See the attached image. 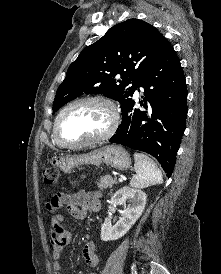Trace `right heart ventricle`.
I'll return each mask as SVG.
<instances>
[{
  "instance_id": "1",
  "label": "right heart ventricle",
  "mask_w": 221,
  "mask_h": 274,
  "mask_svg": "<svg viewBox=\"0 0 221 274\" xmlns=\"http://www.w3.org/2000/svg\"><path fill=\"white\" fill-rule=\"evenodd\" d=\"M53 140H54V142H55L56 144H58L57 141H56L55 138H54V133H53ZM58 145H59V144H58Z\"/></svg>"
}]
</instances>
